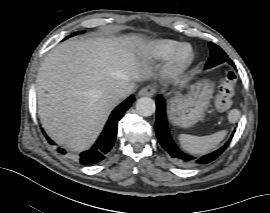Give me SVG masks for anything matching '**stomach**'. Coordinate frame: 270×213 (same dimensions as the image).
I'll return each mask as SVG.
<instances>
[{"label": "stomach", "instance_id": "0dacf381", "mask_svg": "<svg viewBox=\"0 0 270 213\" xmlns=\"http://www.w3.org/2000/svg\"><path fill=\"white\" fill-rule=\"evenodd\" d=\"M212 85L207 80L189 86L186 94L176 93L169 99V115L173 124L188 128L199 122L209 104Z\"/></svg>", "mask_w": 270, "mask_h": 213}]
</instances>
